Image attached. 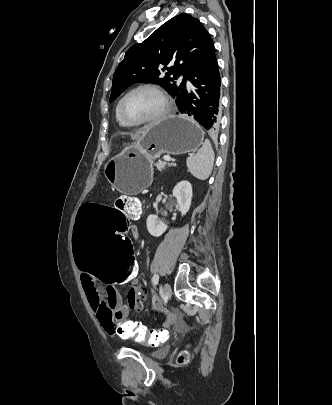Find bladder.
<instances>
[{
    "mask_svg": "<svg viewBox=\"0 0 332 405\" xmlns=\"http://www.w3.org/2000/svg\"><path fill=\"white\" fill-rule=\"evenodd\" d=\"M167 353H168V347L162 346V347H159L158 349L154 350L153 352H151L150 356L153 358H163L167 355Z\"/></svg>",
    "mask_w": 332,
    "mask_h": 405,
    "instance_id": "bladder-1",
    "label": "bladder"
}]
</instances>
